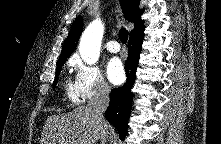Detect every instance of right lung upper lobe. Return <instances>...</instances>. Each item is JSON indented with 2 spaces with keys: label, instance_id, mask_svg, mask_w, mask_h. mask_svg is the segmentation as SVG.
I'll return each mask as SVG.
<instances>
[{
  "label": "right lung upper lobe",
  "instance_id": "1",
  "mask_svg": "<svg viewBox=\"0 0 221 144\" xmlns=\"http://www.w3.org/2000/svg\"><path fill=\"white\" fill-rule=\"evenodd\" d=\"M140 0H121V5L123 7V12L125 18L134 23V29L130 32V35L144 29L143 21L140 16L143 13V9H139ZM83 29V19L82 16L77 17L74 21L67 39L64 43L62 52L59 57L58 63H64L67 58L71 55L75 49L77 42L79 40L81 31Z\"/></svg>",
  "mask_w": 221,
  "mask_h": 144
}]
</instances>
